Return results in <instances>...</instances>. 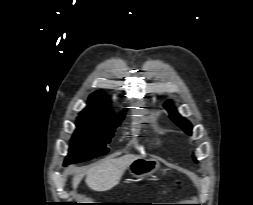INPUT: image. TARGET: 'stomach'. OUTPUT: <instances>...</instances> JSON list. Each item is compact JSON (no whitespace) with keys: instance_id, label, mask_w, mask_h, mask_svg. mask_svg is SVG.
I'll use <instances>...</instances> for the list:
<instances>
[{"instance_id":"stomach-1","label":"stomach","mask_w":253,"mask_h":205,"mask_svg":"<svg viewBox=\"0 0 253 205\" xmlns=\"http://www.w3.org/2000/svg\"><path fill=\"white\" fill-rule=\"evenodd\" d=\"M160 169V163L151 158L137 157L129 166V174L144 179Z\"/></svg>"}]
</instances>
